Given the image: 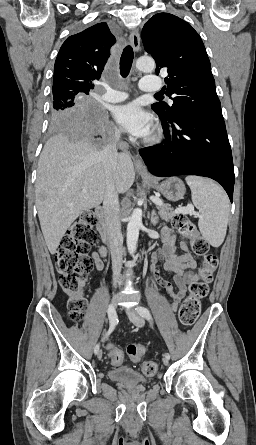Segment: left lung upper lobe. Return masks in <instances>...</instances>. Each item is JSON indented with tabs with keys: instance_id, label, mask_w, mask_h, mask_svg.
I'll return each mask as SVG.
<instances>
[{
	"instance_id": "1",
	"label": "left lung upper lobe",
	"mask_w": 256,
	"mask_h": 445,
	"mask_svg": "<svg viewBox=\"0 0 256 445\" xmlns=\"http://www.w3.org/2000/svg\"><path fill=\"white\" fill-rule=\"evenodd\" d=\"M141 38L156 61V74L167 72L164 90L174 103L151 105L160 119L169 120L184 108L221 112L208 55L191 25L175 15L159 13L144 25Z\"/></svg>"
}]
</instances>
